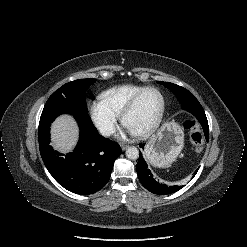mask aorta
Segmentation results:
<instances>
[{
	"instance_id": "aorta-1",
	"label": "aorta",
	"mask_w": 247,
	"mask_h": 247,
	"mask_svg": "<svg viewBox=\"0 0 247 247\" xmlns=\"http://www.w3.org/2000/svg\"><path fill=\"white\" fill-rule=\"evenodd\" d=\"M126 157L130 160H136L139 157V150L134 147L131 146L126 150Z\"/></svg>"
}]
</instances>
